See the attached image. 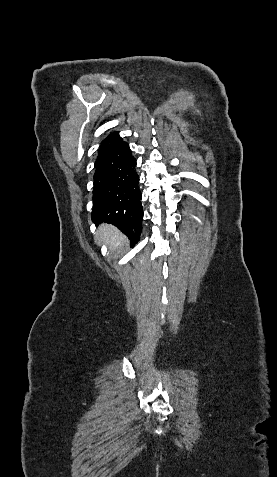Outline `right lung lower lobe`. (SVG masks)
<instances>
[{"instance_id":"98d812e1","label":"right lung lower lobe","mask_w":277,"mask_h":477,"mask_svg":"<svg viewBox=\"0 0 277 477\" xmlns=\"http://www.w3.org/2000/svg\"><path fill=\"white\" fill-rule=\"evenodd\" d=\"M95 168L92 221L115 225L135 243L143 219L139 176L128 143L118 132L101 142Z\"/></svg>"}]
</instances>
